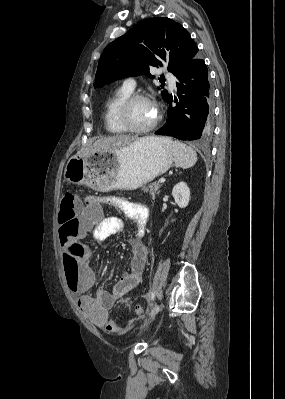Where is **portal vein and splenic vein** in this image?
I'll list each match as a JSON object with an SVG mask.
<instances>
[{
	"instance_id": "1",
	"label": "portal vein and splenic vein",
	"mask_w": 285,
	"mask_h": 399,
	"mask_svg": "<svg viewBox=\"0 0 285 399\" xmlns=\"http://www.w3.org/2000/svg\"><path fill=\"white\" fill-rule=\"evenodd\" d=\"M159 182H160V183H164V182H165V179H164V178H161V179H159Z\"/></svg>"
}]
</instances>
